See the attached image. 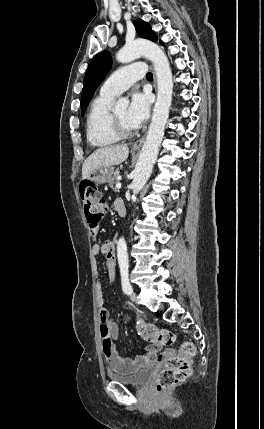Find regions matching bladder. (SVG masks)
Returning a JSON list of instances; mask_svg holds the SVG:
<instances>
[{
	"label": "bladder",
	"instance_id": "bladder-1",
	"mask_svg": "<svg viewBox=\"0 0 264 429\" xmlns=\"http://www.w3.org/2000/svg\"><path fill=\"white\" fill-rule=\"evenodd\" d=\"M154 373L155 367L149 366L127 374L108 372L107 376L112 381L119 382L125 385H131L134 387H139L146 384L153 377Z\"/></svg>",
	"mask_w": 264,
	"mask_h": 429
}]
</instances>
